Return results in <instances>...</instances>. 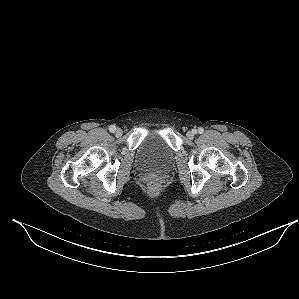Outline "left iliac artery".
Listing matches in <instances>:
<instances>
[{
    "mask_svg": "<svg viewBox=\"0 0 299 299\" xmlns=\"http://www.w3.org/2000/svg\"><path fill=\"white\" fill-rule=\"evenodd\" d=\"M198 132L201 134V133L204 132V129H203L202 127H199V128H198Z\"/></svg>",
    "mask_w": 299,
    "mask_h": 299,
    "instance_id": "left-iliac-artery-1",
    "label": "left iliac artery"
}]
</instances>
